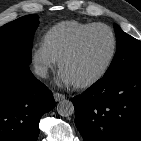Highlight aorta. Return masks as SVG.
Returning a JSON list of instances; mask_svg holds the SVG:
<instances>
[{
    "label": "aorta",
    "instance_id": "762f6f07",
    "mask_svg": "<svg viewBox=\"0 0 141 141\" xmlns=\"http://www.w3.org/2000/svg\"><path fill=\"white\" fill-rule=\"evenodd\" d=\"M57 112L63 117H68L74 114V105L69 100H62L57 104Z\"/></svg>",
    "mask_w": 141,
    "mask_h": 141
}]
</instances>
